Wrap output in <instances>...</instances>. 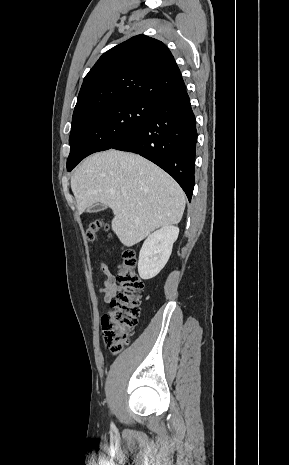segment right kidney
Listing matches in <instances>:
<instances>
[{
    "label": "right kidney",
    "instance_id": "obj_1",
    "mask_svg": "<svg viewBox=\"0 0 289 465\" xmlns=\"http://www.w3.org/2000/svg\"><path fill=\"white\" fill-rule=\"evenodd\" d=\"M178 234V227L168 225L148 236L142 245L138 261V272L142 279H151L164 268Z\"/></svg>",
    "mask_w": 289,
    "mask_h": 465
}]
</instances>
